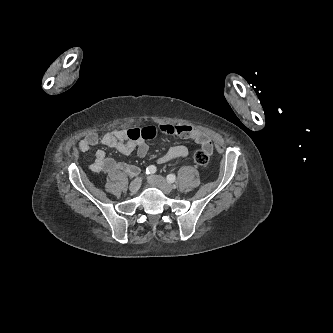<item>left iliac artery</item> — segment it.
Here are the masks:
<instances>
[{"instance_id":"left-iliac-artery-1","label":"left iliac artery","mask_w":333,"mask_h":333,"mask_svg":"<svg viewBox=\"0 0 333 333\" xmlns=\"http://www.w3.org/2000/svg\"><path fill=\"white\" fill-rule=\"evenodd\" d=\"M167 180H168V182H170V183L175 182V180H176V176H175V174H169V175L167 176Z\"/></svg>"}]
</instances>
